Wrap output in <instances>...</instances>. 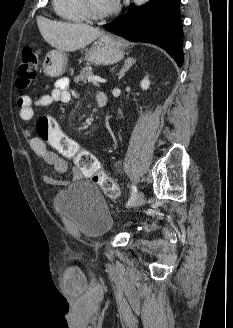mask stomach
<instances>
[{"mask_svg": "<svg viewBox=\"0 0 233 328\" xmlns=\"http://www.w3.org/2000/svg\"><path fill=\"white\" fill-rule=\"evenodd\" d=\"M124 41L111 34H102L85 52V60L94 64L111 65L124 57ZM67 56L59 50L49 51L43 62V72L50 77L64 73Z\"/></svg>", "mask_w": 233, "mask_h": 328, "instance_id": "0dacf381", "label": "stomach"}]
</instances>
